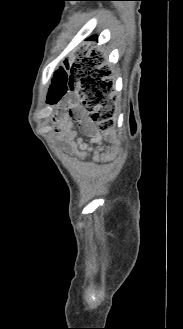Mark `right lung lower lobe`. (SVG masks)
<instances>
[{
	"label": "right lung lower lobe",
	"mask_w": 183,
	"mask_h": 329,
	"mask_svg": "<svg viewBox=\"0 0 183 329\" xmlns=\"http://www.w3.org/2000/svg\"><path fill=\"white\" fill-rule=\"evenodd\" d=\"M91 39H96V37L94 36V37H92ZM93 55V54H92ZM87 64H88V66H89V68H94L95 67V64H94V61H92V60H88L87 61ZM91 72H93V70L91 71ZM94 73V72H93ZM95 79V78H94Z\"/></svg>",
	"instance_id": "right-lung-lower-lobe-1"
}]
</instances>
